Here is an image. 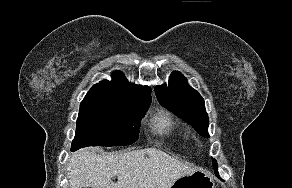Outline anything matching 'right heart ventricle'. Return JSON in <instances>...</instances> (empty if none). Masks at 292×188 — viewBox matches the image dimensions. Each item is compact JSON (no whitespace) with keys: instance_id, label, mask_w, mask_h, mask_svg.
I'll return each instance as SVG.
<instances>
[{"instance_id":"1","label":"right heart ventricle","mask_w":292,"mask_h":188,"mask_svg":"<svg viewBox=\"0 0 292 188\" xmlns=\"http://www.w3.org/2000/svg\"><path fill=\"white\" fill-rule=\"evenodd\" d=\"M155 129L159 133L170 134L175 128V124L167 113H159L154 118Z\"/></svg>"}]
</instances>
